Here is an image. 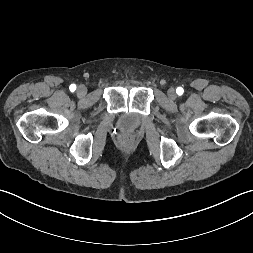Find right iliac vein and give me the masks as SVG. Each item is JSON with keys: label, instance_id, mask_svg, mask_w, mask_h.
Returning <instances> with one entry per match:
<instances>
[{"label": "right iliac vein", "instance_id": "right-iliac-vein-1", "mask_svg": "<svg viewBox=\"0 0 253 253\" xmlns=\"http://www.w3.org/2000/svg\"><path fill=\"white\" fill-rule=\"evenodd\" d=\"M87 93V88L84 86V85H80L78 88H77V95L79 97H83L85 96Z\"/></svg>", "mask_w": 253, "mask_h": 253}]
</instances>
